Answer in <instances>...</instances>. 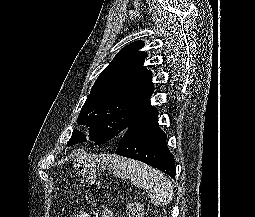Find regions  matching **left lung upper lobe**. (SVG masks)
<instances>
[{"label":"left lung upper lobe","mask_w":255,"mask_h":217,"mask_svg":"<svg viewBox=\"0 0 255 217\" xmlns=\"http://www.w3.org/2000/svg\"><path fill=\"white\" fill-rule=\"evenodd\" d=\"M143 45L135 41L118 52L99 75L81 109L77 122L90 127L89 139L96 144L121 139L151 107L152 73L143 67L146 53L138 51ZM86 139L84 133L74 130L68 145Z\"/></svg>","instance_id":"1"}]
</instances>
